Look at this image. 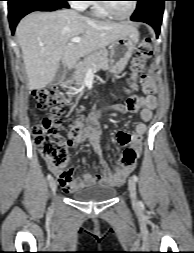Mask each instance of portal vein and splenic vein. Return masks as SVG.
Returning a JSON list of instances; mask_svg holds the SVG:
<instances>
[{
    "mask_svg": "<svg viewBox=\"0 0 194 253\" xmlns=\"http://www.w3.org/2000/svg\"><path fill=\"white\" fill-rule=\"evenodd\" d=\"M82 39L80 38V37H74V38H72L71 40H70V42H73V43H75V42H80Z\"/></svg>",
    "mask_w": 194,
    "mask_h": 253,
    "instance_id": "18ae733b",
    "label": "portal vein and splenic vein"
}]
</instances>
